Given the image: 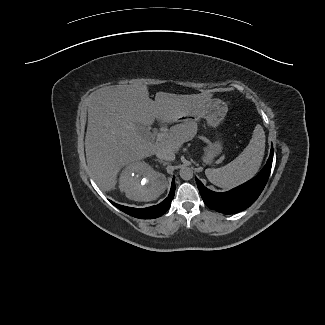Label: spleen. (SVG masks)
<instances>
[{
	"label": "spleen",
	"instance_id": "spleen-1",
	"mask_svg": "<svg viewBox=\"0 0 325 325\" xmlns=\"http://www.w3.org/2000/svg\"><path fill=\"white\" fill-rule=\"evenodd\" d=\"M265 151V132L257 124L248 146L229 164L217 168H208L205 174L208 180L220 188H232L251 179L258 172Z\"/></svg>",
	"mask_w": 325,
	"mask_h": 325
}]
</instances>
